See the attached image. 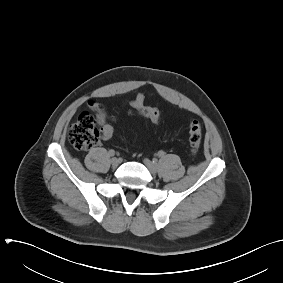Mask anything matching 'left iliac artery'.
<instances>
[{"label":"left iliac artery","mask_w":283,"mask_h":283,"mask_svg":"<svg viewBox=\"0 0 283 283\" xmlns=\"http://www.w3.org/2000/svg\"><path fill=\"white\" fill-rule=\"evenodd\" d=\"M164 154H165V152H164V151H159V152H158V156H159V157H163V156H164Z\"/></svg>","instance_id":"left-iliac-artery-1"}]
</instances>
